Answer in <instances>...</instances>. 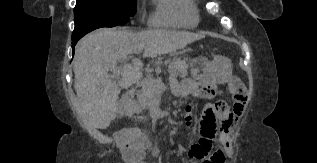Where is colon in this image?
I'll return each instance as SVG.
<instances>
[{
  "instance_id": "1",
  "label": "colon",
  "mask_w": 317,
  "mask_h": 163,
  "mask_svg": "<svg viewBox=\"0 0 317 163\" xmlns=\"http://www.w3.org/2000/svg\"><path fill=\"white\" fill-rule=\"evenodd\" d=\"M230 92L233 96L235 105L240 104L244 98L247 99V93L244 89V86L237 79H233L231 81ZM225 106L226 104L224 102H217L204 107L200 118V129L202 132L215 133L218 131L220 117L225 109ZM140 154L141 153L139 151L131 152V155L135 158L139 157Z\"/></svg>"
}]
</instances>
